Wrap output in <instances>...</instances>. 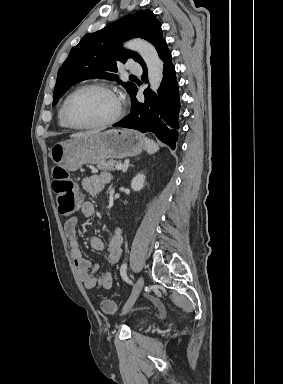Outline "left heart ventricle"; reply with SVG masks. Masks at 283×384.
<instances>
[{
	"label": "left heart ventricle",
	"instance_id": "b2bd125f",
	"mask_svg": "<svg viewBox=\"0 0 283 384\" xmlns=\"http://www.w3.org/2000/svg\"><path fill=\"white\" fill-rule=\"evenodd\" d=\"M115 111L113 98L104 91L86 90L75 95L68 106V119L75 126H87L110 118Z\"/></svg>",
	"mask_w": 283,
	"mask_h": 384
}]
</instances>
